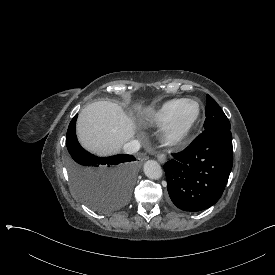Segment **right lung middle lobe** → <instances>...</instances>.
I'll return each instance as SVG.
<instances>
[{
	"label": "right lung middle lobe",
	"mask_w": 275,
	"mask_h": 275,
	"mask_svg": "<svg viewBox=\"0 0 275 275\" xmlns=\"http://www.w3.org/2000/svg\"><path fill=\"white\" fill-rule=\"evenodd\" d=\"M76 119L77 115L71 120L66 135L67 167L72 189L91 209L111 213L130 198L138 175V164L132 155L103 158L87 152L78 143Z\"/></svg>",
	"instance_id": "right-lung-middle-lobe-1"
}]
</instances>
